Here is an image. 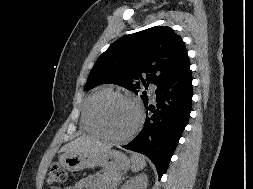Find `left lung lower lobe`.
<instances>
[{"label": "left lung lower lobe", "instance_id": "0a47b994", "mask_svg": "<svg viewBox=\"0 0 253 189\" xmlns=\"http://www.w3.org/2000/svg\"><path fill=\"white\" fill-rule=\"evenodd\" d=\"M155 93L156 107H147L148 102L145 104L152 113L147 115L144 128L123 147L149 157L160 179L168 168L191 112L193 92L188 57L176 74Z\"/></svg>", "mask_w": 253, "mask_h": 189}]
</instances>
